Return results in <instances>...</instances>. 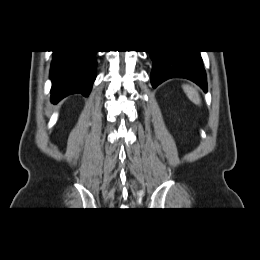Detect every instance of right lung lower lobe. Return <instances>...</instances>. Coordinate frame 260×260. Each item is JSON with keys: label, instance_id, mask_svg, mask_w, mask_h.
<instances>
[{"label": "right lung lower lobe", "instance_id": "obj_1", "mask_svg": "<svg viewBox=\"0 0 260 260\" xmlns=\"http://www.w3.org/2000/svg\"><path fill=\"white\" fill-rule=\"evenodd\" d=\"M96 51H54L50 69L51 101L81 93L88 96L96 78Z\"/></svg>", "mask_w": 260, "mask_h": 260}]
</instances>
